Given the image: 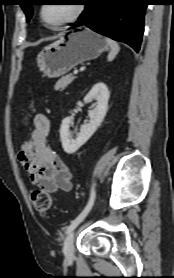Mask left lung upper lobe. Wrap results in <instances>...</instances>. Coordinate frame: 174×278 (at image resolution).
Wrapping results in <instances>:
<instances>
[{"label": "left lung upper lobe", "instance_id": "obj_1", "mask_svg": "<svg viewBox=\"0 0 174 278\" xmlns=\"http://www.w3.org/2000/svg\"><path fill=\"white\" fill-rule=\"evenodd\" d=\"M83 1H85V0H83ZM35 2H37V1L36 0H22V3L20 4L23 11L26 14L28 21L32 17V5H34Z\"/></svg>", "mask_w": 174, "mask_h": 278}]
</instances>
